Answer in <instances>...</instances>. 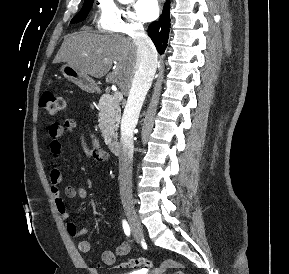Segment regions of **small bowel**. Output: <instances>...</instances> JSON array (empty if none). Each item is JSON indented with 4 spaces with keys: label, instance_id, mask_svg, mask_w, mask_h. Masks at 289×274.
I'll return each instance as SVG.
<instances>
[{
    "label": "small bowel",
    "instance_id": "1",
    "mask_svg": "<svg viewBox=\"0 0 289 274\" xmlns=\"http://www.w3.org/2000/svg\"><path fill=\"white\" fill-rule=\"evenodd\" d=\"M69 130H80L79 124L72 119L65 120L63 122H53L49 126L48 136L49 142V152L52 159V165L49 171V179L51 183V194L54 199L55 207L63 219L69 218V212L66 207L64 198L61 195L60 183L62 181V173L59 166L56 163L57 158L62 152V137L66 131ZM84 133L90 138L92 142V147L85 151V154L97 161L104 162L107 161L108 154L100 147L98 140L92 130L86 128ZM63 194L66 198L86 199L88 197V192L85 188L74 185H67ZM66 230L71 237L77 238L86 235L89 230L87 228L79 229L74 222L66 223ZM78 249L81 253H89L92 249L91 242L89 240L83 239L78 243ZM130 251V243L128 241H123L117 248L116 251L106 250L102 253L101 260L107 265L111 266L115 263L118 256H124Z\"/></svg>",
    "mask_w": 289,
    "mask_h": 274
}]
</instances>
